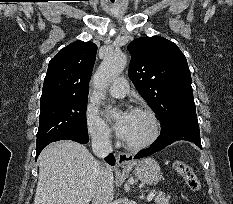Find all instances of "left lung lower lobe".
Returning <instances> with one entry per match:
<instances>
[{
    "label": "left lung lower lobe",
    "instance_id": "0a47b994",
    "mask_svg": "<svg viewBox=\"0 0 233 204\" xmlns=\"http://www.w3.org/2000/svg\"><path fill=\"white\" fill-rule=\"evenodd\" d=\"M178 140H186L196 144L202 149L200 141L199 125L194 123H179L170 127L167 131H161V136L149 148L137 153L135 159L149 156L162 150L164 147Z\"/></svg>",
    "mask_w": 233,
    "mask_h": 204
}]
</instances>
